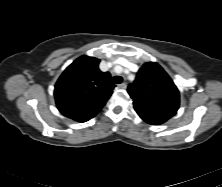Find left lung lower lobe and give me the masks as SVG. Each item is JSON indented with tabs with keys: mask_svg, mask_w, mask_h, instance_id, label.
<instances>
[{
	"mask_svg": "<svg viewBox=\"0 0 222 187\" xmlns=\"http://www.w3.org/2000/svg\"><path fill=\"white\" fill-rule=\"evenodd\" d=\"M135 110L142 120L151 125H160L172 117L164 113L148 112L137 108Z\"/></svg>",
	"mask_w": 222,
	"mask_h": 187,
	"instance_id": "0a47b994",
	"label": "left lung lower lobe"
}]
</instances>
